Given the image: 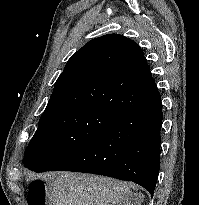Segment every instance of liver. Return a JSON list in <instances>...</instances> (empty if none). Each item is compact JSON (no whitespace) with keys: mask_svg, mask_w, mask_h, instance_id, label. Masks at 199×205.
<instances>
[{"mask_svg":"<svg viewBox=\"0 0 199 205\" xmlns=\"http://www.w3.org/2000/svg\"><path fill=\"white\" fill-rule=\"evenodd\" d=\"M43 177L51 181L52 205H130L133 199L130 186L112 178L72 172ZM139 203L136 197L134 204Z\"/></svg>","mask_w":199,"mask_h":205,"instance_id":"obj_1","label":"liver"}]
</instances>
